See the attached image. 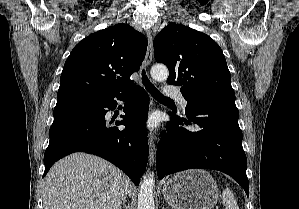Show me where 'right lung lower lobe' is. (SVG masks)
Instances as JSON below:
<instances>
[{
  "label": "right lung lower lobe",
  "instance_id": "right-lung-lower-lobe-1",
  "mask_svg": "<svg viewBox=\"0 0 299 209\" xmlns=\"http://www.w3.org/2000/svg\"><path fill=\"white\" fill-rule=\"evenodd\" d=\"M127 101L125 116L111 126L105 120L108 109H115V99ZM148 94L141 87L122 93L92 97L57 99L50 127V142L44 154L45 171L59 159L82 151L100 156L123 170L138 185L148 161V138L145 126Z\"/></svg>",
  "mask_w": 299,
  "mask_h": 209
}]
</instances>
